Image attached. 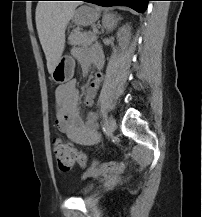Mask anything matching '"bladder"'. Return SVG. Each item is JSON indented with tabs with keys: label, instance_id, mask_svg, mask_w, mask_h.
Returning a JSON list of instances; mask_svg holds the SVG:
<instances>
[{
	"label": "bladder",
	"instance_id": "bladder-1",
	"mask_svg": "<svg viewBox=\"0 0 202 217\" xmlns=\"http://www.w3.org/2000/svg\"><path fill=\"white\" fill-rule=\"evenodd\" d=\"M94 189L93 185L87 186L86 188L83 189V191L81 192V196H87L89 195Z\"/></svg>",
	"mask_w": 202,
	"mask_h": 217
}]
</instances>
